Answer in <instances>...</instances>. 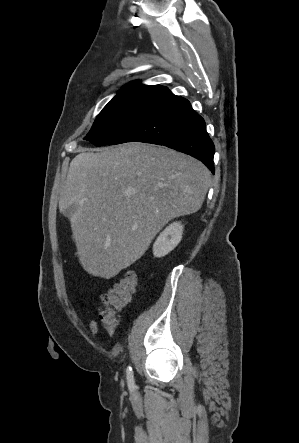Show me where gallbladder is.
<instances>
[{
    "mask_svg": "<svg viewBox=\"0 0 299 443\" xmlns=\"http://www.w3.org/2000/svg\"><path fill=\"white\" fill-rule=\"evenodd\" d=\"M77 206L76 205H70L65 211H64V215L65 216H70L75 210H76Z\"/></svg>",
    "mask_w": 299,
    "mask_h": 443,
    "instance_id": "1",
    "label": "gallbladder"
}]
</instances>
